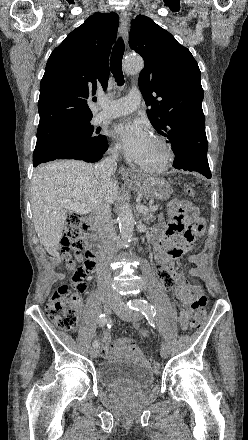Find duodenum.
<instances>
[{"mask_svg":"<svg viewBox=\"0 0 248 440\" xmlns=\"http://www.w3.org/2000/svg\"><path fill=\"white\" fill-rule=\"evenodd\" d=\"M85 239L87 246L96 256L97 261L101 258V248L97 237L90 231V227L87 223L84 224Z\"/></svg>","mask_w":248,"mask_h":440,"instance_id":"1","label":"duodenum"}]
</instances>
